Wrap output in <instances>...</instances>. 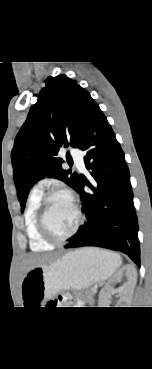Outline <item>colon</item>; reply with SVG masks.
Listing matches in <instances>:
<instances>
[{
  "mask_svg": "<svg viewBox=\"0 0 152 369\" xmlns=\"http://www.w3.org/2000/svg\"><path fill=\"white\" fill-rule=\"evenodd\" d=\"M69 302V299L67 296H59V298L55 301V302H52L53 305H56V304H67Z\"/></svg>",
  "mask_w": 152,
  "mask_h": 369,
  "instance_id": "colon-1",
  "label": "colon"
}]
</instances>
